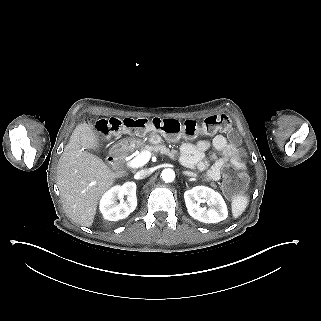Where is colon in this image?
<instances>
[{"mask_svg":"<svg viewBox=\"0 0 321 321\" xmlns=\"http://www.w3.org/2000/svg\"><path fill=\"white\" fill-rule=\"evenodd\" d=\"M96 130L101 135H113L118 133L141 134L148 131H161L169 136L185 135L197 137L200 135H214L225 133L230 139L231 150L227 167L222 182L224 192L232 197L242 190L248 183V175L244 171V152L238 148L239 137L234 132L232 122L226 114H214L205 118L202 124L193 120L180 122L174 118H110L100 120L96 124Z\"/></svg>","mask_w":321,"mask_h":321,"instance_id":"colon-1","label":"colon"}]
</instances>
